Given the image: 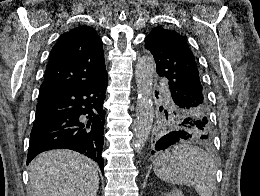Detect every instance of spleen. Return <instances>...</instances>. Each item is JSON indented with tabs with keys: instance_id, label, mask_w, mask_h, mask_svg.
<instances>
[{
	"instance_id": "3e777b00",
	"label": "spleen",
	"mask_w": 260,
	"mask_h": 196,
	"mask_svg": "<svg viewBox=\"0 0 260 196\" xmlns=\"http://www.w3.org/2000/svg\"><path fill=\"white\" fill-rule=\"evenodd\" d=\"M157 178L168 184L192 186L199 196H212L215 190L216 170L214 162L202 148L178 144L172 154L163 152L154 160Z\"/></svg>"
}]
</instances>
